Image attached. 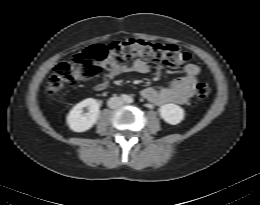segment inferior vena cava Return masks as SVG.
Segmentation results:
<instances>
[{"label": "inferior vena cava", "instance_id": "inferior-vena-cava-1", "mask_svg": "<svg viewBox=\"0 0 260 205\" xmlns=\"http://www.w3.org/2000/svg\"><path fill=\"white\" fill-rule=\"evenodd\" d=\"M122 103H123V101L120 97L114 96L109 99L108 106L110 108L114 109V108L121 106Z\"/></svg>", "mask_w": 260, "mask_h": 205}]
</instances>
